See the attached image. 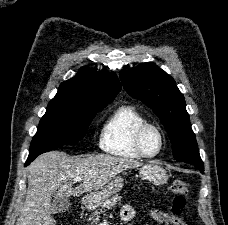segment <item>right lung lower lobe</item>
I'll list each match as a JSON object with an SVG mask.
<instances>
[{
  "label": "right lung lower lobe",
  "instance_id": "98d812e1",
  "mask_svg": "<svg viewBox=\"0 0 228 225\" xmlns=\"http://www.w3.org/2000/svg\"><path fill=\"white\" fill-rule=\"evenodd\" d=\"M63 146L64 145L46 146V147H42V148L30 151L29 157L25 163V166L28 165L30 162H32L38 155L57 148H63Z\"/></svg>",
  "mask_w": 228,
  "mask_h": 225
}]
</instances>
